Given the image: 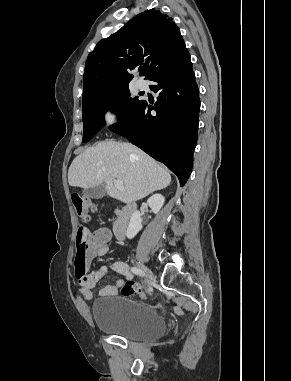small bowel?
<instances>
[{
	"label": "small bowel",
	"instance_id": "1",
	"mask_svg": "<svg viewBox=\"0 0 291 381\" xmlns=\"http://www.w3.org/2000/svg\"><path fill=\"white\" fill-rule=\"evenodd\" d=\"M112 239V232L107 227H101L93 233L88 232V257L90 260L104 256L109 251V242ZM110 269L121 275L123 278L116 283L106 285L100 290L101 296H115L119 292L120 286L125 280H130L132 274L128 266L123 261H115L111 264ZM108 273V267H101L93 272H90L78 280V291L84 300H89L92 297V289L101 281Z\"/></svg>",
	"mask_w": 291,
	"mask_h": 381
}]
</instances>
